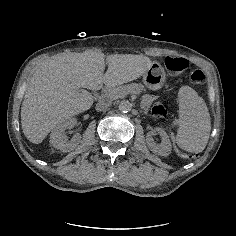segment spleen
Returning <instances> with one entry per match:
<instances>
[{
  "label": "spleen",
  "instance_id": "spleen-1",
  "mask_svg": "<svg viewBox=\"0 0 236 236\" xmlns=\"http://www.w3.org/2000/svg\"><path fill=\"white\" fill-rule=\"evenodd\" d=\"M178 146L192 153L202 152L209 140L211 120L207 105L202 97L189 86L179 90Z\"/></svg>",
  "mask_w": 236,
  "mask_h": 236
}]
</instances>
